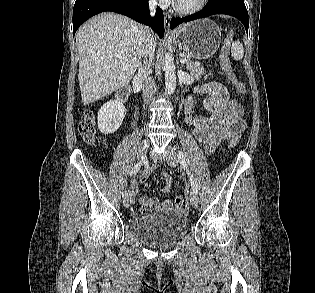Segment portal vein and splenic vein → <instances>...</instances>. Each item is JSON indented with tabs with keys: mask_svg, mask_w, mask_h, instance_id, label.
<instances>
[{
	"mask_svg": "<svg viewBox=\"0 0 315 293\" xmlns=\"http://www.w3.org/2000/svg\"><path fill=\"white\" fill-rule=\"evenodd\" d=\"M180 61H181V63H186L187 59L186 58H182Z\"/></svg>",
	"mask_w": 315,
	"mask_h": 293,
	"instance_id": "obj_1",
	"label": "portal vein and splenic vein"
}]
</instances>
